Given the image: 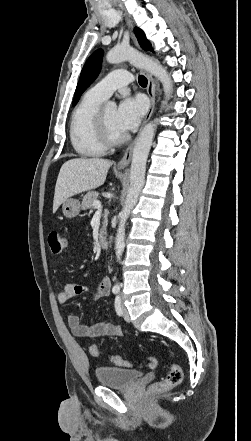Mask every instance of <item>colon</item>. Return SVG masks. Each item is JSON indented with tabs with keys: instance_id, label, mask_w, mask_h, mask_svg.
Listing matches in <instances>:
<instances>
[{
	"instance_id": "obj_1",
	"label": "colon",
	"mask_w": 251,
	"mask_h": 441,
	"mask_svg": "<svg viewBox=\"0 0 251 441\" xmlns=\"http://www.w3.org/2000/svg\"><path fill=\"white\" fill-rule=\"evenodd\" d=\"M48 244L51 251L55 254L61 253L67 245V239L64 234L59 231L53 230L48 234ZM89 352L92 356L96 357L99 355V349L96 344H91L89 347ZM111 361L124 368L132 367V363L120 356L114 355L111 357ZM147 366L153 368L156 366V359L153 357L148 358ZM183 380V371L178 364H171L168 374L161 380L153 383L150 387V391L153 393H159L172 389L178 386Z\"/></svg>"
}]
</instances>
